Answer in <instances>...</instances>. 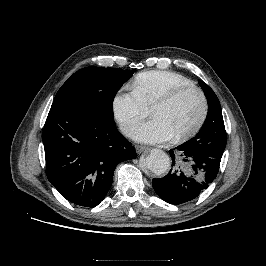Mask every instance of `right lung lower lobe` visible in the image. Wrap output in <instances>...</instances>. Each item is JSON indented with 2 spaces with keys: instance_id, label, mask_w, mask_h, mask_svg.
<instances>
[{
  "instance_id": "right-lung-lower-lobe-1",
  "label": "right lung lower lobe",
  "mask_w": 266,
  "mask_h": 266,
  "mask_svg": "<svg viewBox=\"0 0 266 266\" xmlns=\"http://www.w3.org/2000/svg\"><path fill=\"white\" fill-rule=\"evenodd\" d=\"M42 140L46 175L69 202L95 207L107 194L115 167L137 156L114 120L66 108H51Z\"/></svg>"
}]
</instances>
